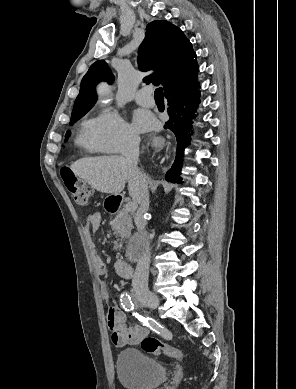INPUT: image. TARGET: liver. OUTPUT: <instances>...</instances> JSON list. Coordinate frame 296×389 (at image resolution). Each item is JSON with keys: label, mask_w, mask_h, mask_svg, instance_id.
I'll return each mask as SVG.
<instances>
[{"label": "liver", "mask_w": 296, "mask_h": 389, "mask_svg": "<svg viewBox=\"0 0 296 389\" xmlns=\"http://www.w3.org/2000/svg\"><path fill=\"white\" fill-rule=\"evenodd\" d=\"M70 169L75 176L102 193L118 195L124 190L127 182L129 195L133 201L136 203L141 201V182L132 173L124 156L86 157L74 162Z\"/></svg>", "instance_id": "obj_1"}]
</instances>
